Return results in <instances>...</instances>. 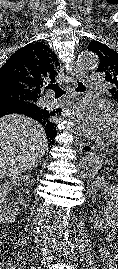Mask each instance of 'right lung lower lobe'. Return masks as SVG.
<instances>
[{
	"instance_id": "obj_1",
	"label": "right lung lower lobe",
	"mask_w": 118,
	"mask_h": 269,
	"mask_svg": "<svg viewBox=\"0 0 118 269\" xmlns=\"http://www.w3.org/2000/svg\"><path fill=\"white\" fill-rule=\"evenodd\" d=\"M34 112H35V107L24 102H20L16 100L0 101V118L5 115L12 114V113L23 114L28 117H31V115ZM54 136L52 137L51 140H53Z\"/></svg>"
}]
</instances>
